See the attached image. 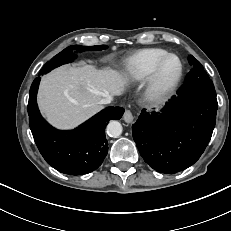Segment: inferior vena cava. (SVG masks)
<instances>
[{"label":"inferior vena cava","instance_id":"1","mask_svg":"<svg viewBox=\"0 0 231 231\" xmlns=\"http://www.w3.org/2000/svg\"><path fill=\"white\" fill-rule=\"evenodd\" d=\"M112 100H113L112 96H107V97L102 98L99 101V104H109L112 102Z\"/></svg>","mask_w":231,"mask_h":231}]
</instances>
